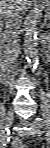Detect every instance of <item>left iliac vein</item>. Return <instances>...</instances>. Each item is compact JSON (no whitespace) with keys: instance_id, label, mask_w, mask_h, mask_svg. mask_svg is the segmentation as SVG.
<instances>
[{"instance_id":"left-iliac-vein-1","label":"left iliac vein","mask_w":50,"mask_h":148,"mask_svg":"<svg viewBox=\"0 0 50 148\" xmlns=\"http://www.w3.org/2000/svg\"><path fill=\"white\" fill-rule=\"evenodd\" d=\"M30 125L32 128L33 134H35L37 137H40L42 134L40 130V126L36 122H31Z\"/></svg>"}]
</instances>
